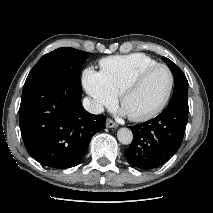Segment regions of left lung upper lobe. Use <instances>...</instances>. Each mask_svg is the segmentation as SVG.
<instances>
[{
	"label": "left lung upper lobe",
	"instance_id": "5c2ea615",
	"mask_svg": "<svg viewBox=\"0 0 213 213\" xmlns=\"http://www.w3.org/2000/svg\"><path fill=\"white\" fill-rule=\"evenodd\" d=\"M174 76V92L170 104L188 106V81L182 70L170 59L162 57Z\"/></svg>",
	"mask_w": 213,
	"mask_h": 213
}]
</instances>
